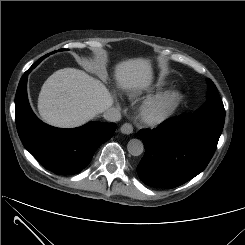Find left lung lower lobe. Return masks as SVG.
Masks as SVG:
<instances>
[{
    "instance_id": "0a47b994",
    "label": "left lung lower lobe",
    "mask_w": 245,
    "mask_h": 245,
    "mask_svg": "<svg viewBox=\"0 0 245 245\" xmlns=\"http://www.w3.org/2000/svg\"><path fill=\"white\" fill-rule=\"evenodd\" d=\"M224 121L181 114L153 130L141 129L145 155L137 172L152 187L174 188L201 173L211 160Z\"/></svg>"
}]
</instances>
